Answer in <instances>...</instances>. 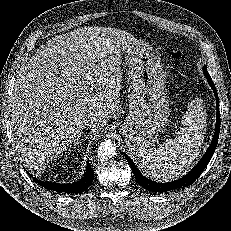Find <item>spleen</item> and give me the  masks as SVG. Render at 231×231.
Listing matches in <instances>:
<instances>
[{"instance_id": "3e777b00", "label": "spleen", "mask_w": 231, "mask_h": 231, "mask_svg": "<svg viewBox=\"0 0 231 231\" xmlns=\"http://www.w3.org/2000/svg\"><path fill=\"white\" fill-rule=\"evenodd\" d=\"M176 137L160 147L141 150L137 154L141 171L156 181L180 177L198 157L204 140L206 115L199 98L188 104Z\"/></svg>"}]
</instances>
